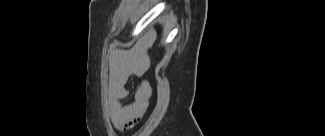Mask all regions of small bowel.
<instances>
[{"label":"small bowel","instance_id":"obj_1","mask_svg":"<svg viewBox=\"0 0 325 136\" xmlns=\"http://www.w3.org/2000/svg\"><path fill=\"white\" fill-rule=\"evenodd\" d=\"M144 70L127 52L115 50L110 55L108 105L113 124L120 128L132 126L148 107L152 86L147 80L139 84L127 106L122 103L129 94L127 81L133 75L141 76Z\"/></svg>","mask_w":325,"mask_h":136}]
</instances>
